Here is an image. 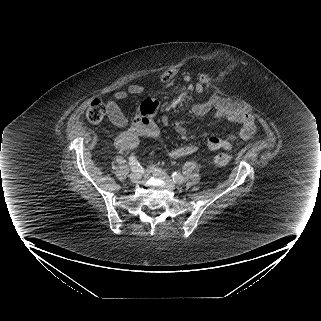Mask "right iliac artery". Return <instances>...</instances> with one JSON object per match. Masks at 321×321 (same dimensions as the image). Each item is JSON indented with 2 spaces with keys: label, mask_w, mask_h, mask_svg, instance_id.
<instances>
[{
  "label": "right iliac artery",
  "mask_w": 321,
  "mask_h": 321,
  "mask_svg": "<svg viewBox=\"0 0 321 321\" xmlns=\"http://www.w3.org/2000/svg\"><path fill=\"white\" fill-rule=\"evenodd\" d=\"M129 164H130V167L132 169V171L134 172H140L141 170V166L140 164L137 162L135 156H130L129 157Z\"/></svg>",
  "instance_id": "82829eb1"
}]
</instances>
